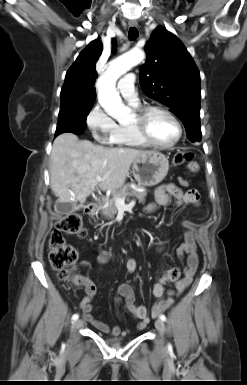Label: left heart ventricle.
Returning <instances> with one entry per match:
<instances>
[{"instance_id": "1", "label": "left heart ventricle", "mask_w": 247, "mask_h": 385, "mask_svg": "<svg viewBox=\"0 0 247 385\" xmlns=\"http://www.w3.org/2000/svg\"><path fill=\"white\" fill-rule=\"evenodd\" d=\"M150 137L160 144L171 143L177 135L174 122L164 113L153 112L147 120Z\"/></svg>"}]
</instances>
